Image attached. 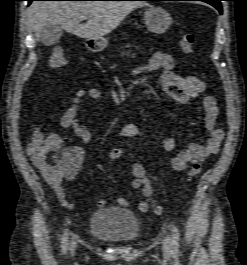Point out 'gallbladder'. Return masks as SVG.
<instances>
[{
	"mask_svg": "<svg viewBox=\"0 0 247 265\" xmlns=\"http://www.w3.org/2000/svg\"><path fill=\"white\" fill-rule=\"evenodd\" d=\"M63 35V28L59 25L46 24L40 32L39 40L45 46H52L58 43Z\"/></svg>",
	"mask_w": 247,
	"mask_h": 265,
	"instance_id": "obj_1",
	"label": "gallbladder"
}]
</instances>
